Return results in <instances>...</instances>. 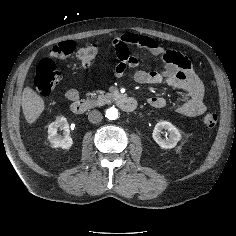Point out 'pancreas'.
Masks as SVG:
<instances>
[{
    "mask_svg": "<svg viewBox=\"0 0 236 236\" xmlns=\"http://www.w3.org/2000/svg\"><path fill=\"white\" fill-rule=\"evenodd\" d=\"M88 96H90L96 104H102L111 101L115 95L113 93H104V91L98 90L88 93Z\"/></svg>",
    "mask_w": 236,
    "mask_h": 236,
    "instance_id": "1",
    "label": "pancreas"
}]
</instances>
